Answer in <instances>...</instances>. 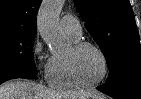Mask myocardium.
Here are the masks:
<instances>
[{"label": "myocardium", "mask_w": 141, "mask_h": 99, "mask_svg": "<svg viewBox=\"0 0 141 99\" xmlns=\"http://www.w3.org/2000/svg\"><path fill=\"white\" fill-rule=\"evenodd\" d=\"M86 47H90V48L95 49L99 53V55L101 56L102 61H103V67H104L103 73H102L101 77L94 82L83 81L79 77V74H78L77 68H76V55L79 51H81L82 49H84ZM66 58H67V64H68L70 76L77 86L85 87V88L96 87V86L100 85L106 79V77L108 75L109 62H108L107 55L104 52V50L94 42H91V41H78V42H76L74 44V46L72 47L70 54H68Z\"/></svg>", "instance_id": "obj_1"}]
</instances>
